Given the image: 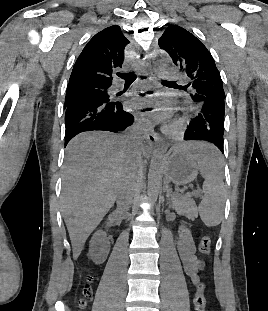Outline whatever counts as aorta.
<instances>
[{
    "label": "aorta",
    "instance_id": "762f6f07",
    "mask_svg": "<svg viewBox=\"0 0 268 311\" xmlns=\"http://www.w3.org/2000/svg\"><path fill=\"white\" fill-rule=\"evenodd\" d=\"M153 72L156 74L157 82L163 83L168 74V69L166 68L165 62L163 60H157V65H153ZM163 156L162 140L159 138L152 153V159L148 172L147 193L151 204H155L160 192L163 172L161 159Z\"/></svg>",
    "mask_w": 268,
    "mask_h": 311
}]
</instances>
